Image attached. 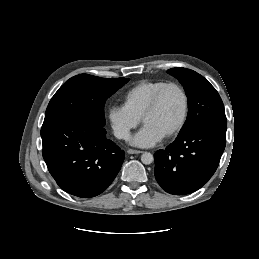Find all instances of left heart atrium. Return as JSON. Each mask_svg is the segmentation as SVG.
<instances>
[{
  "label": "left heart atrium",
  "mask_w": 259,
  "mask_h": 259,
  "mask_svg": "<svg viewBox=\"0 0 259 259\" xmlns=\"http://www.w3.org/2000/svg\"><path fill=\"white\" fill-rule=\"evenodd\" d=\"M162 136L145 126L133 137L132 144L139 147H151L157 144Z\"/></svg>",
  "instance_id": "39dd6f15"
}]
</instances>
